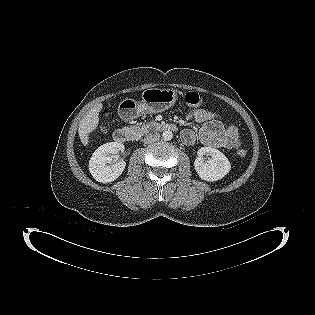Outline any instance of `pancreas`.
<instances>
[{"label": "pancreas", "instance_id": "cf45deb5", "mask_svg": "<svg viewBox=\"0 0 315 315\" xmlns=\"http://www.w3.org/2000/svg\"><path fill=\"white\" fill-rule=\"evenodd\" d=\"M152 125H156V122L151 121L149 123L137 124L135 126L130 127V129L133 132L134 137H140L143 134L148 133Z\"/></svg>", "mask_w": 315, "mask_h": 315}]
</instances>
